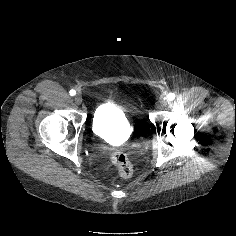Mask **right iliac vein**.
I'll return each instance as SVG.
<instances>
[{
    "mask_svg": "<svg viewBox=\"0 0 236 236\" xmlns=\"http://www.w3.org/2000/svg\"><path fill=\"white\" fill-rule=\"evenodd\" d=\"M74 100H75V103L78 104V105H80L83 101L82 96L80 94H77L75 96Z\"/></svg>",
    "mask_w": 236,
    "mask_h": 236,
    "instance_id": "right-iliac-vein-1",
    "label": "right iliac vein"
}]
</instances>
